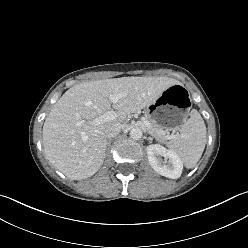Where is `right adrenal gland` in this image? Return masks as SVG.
<instances>
[{
    "label": "right adrenal gland",
    "mask_w": 248,
    "mask_h": 248,
    "mask_svg": "<svg viewBox=\"0 0 248 248\" xmlns=\"http://www.w3.org/2000/svg\"><path fill=\"white\" fill-rule=\"evenodd\" d=\"M110 146H111V139H110V140H108V142H107V149H109V148H110Z\"/></svg>",
    "instance_id": "right-adrenal-gland-1"
}]
</instances>
